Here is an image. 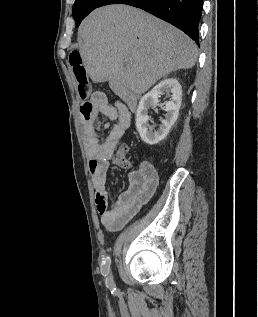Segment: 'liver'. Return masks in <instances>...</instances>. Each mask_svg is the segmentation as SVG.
Returning <instances> with one entry per match:
<instances>
[{
	"label": "liver",
	"mask_w": 258,
	"mask_h": 317,
	"mask_svg": "<svg viewBox=\"0 0 258 317\" xmlns=\"http://www.w3.org/2000/svg\"><path fill=\"white\" fill-rule=\"evenodd\" d=\"M78 36L87 74L94 82L109 80L121 98L146 92L172 70L192 68L198 56L185 32L128 4L95 8L82 20Z\"/></svg>",
	"instance_id": "liver-1"
}]
</instances>
